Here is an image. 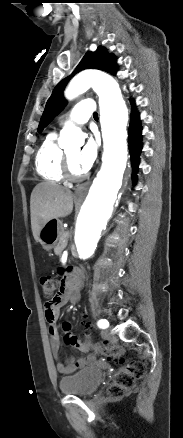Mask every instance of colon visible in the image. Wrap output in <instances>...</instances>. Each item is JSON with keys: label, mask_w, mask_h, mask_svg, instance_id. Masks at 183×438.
Segmentation results:
<instances>
[{"label": "colon", "mask_w": 183, "mask_h": 438, "mask_svg": "<svg viewBox=\"0 0 183 438\" xmlns=\"http://www.w3.org/2000/svg\"><path fill=\"white\" fill-rule=\"evenodd\" d=\"M40 283L44 297L47 299H53L59 286V281L54 277L47 276L43 277ZM84 318H86V316H84ZM84 336L89 340L87 329L84 332ZM93 348L97 354L107 356L116 362L123 364L116 373L109 387L111 395H124L131 391L136 386V383L144 377L146 373L145 364L141 361H130L125 363L124 353L121 348L104 342L95 343Z\"/></svg>", "instance_id": "5ec220e1"}]
</instances>
